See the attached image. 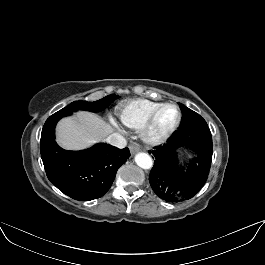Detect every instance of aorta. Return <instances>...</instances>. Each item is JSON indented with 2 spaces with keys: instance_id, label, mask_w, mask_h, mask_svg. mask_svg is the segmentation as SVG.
I'll return each instance as SVG.
<instances>
[{
  "instance_id": "762f6f07",
  "label": "aorta",
  "mask_w": 265,
  "mask_h": 265,
  "mask_svg": "<svg viewBox=\"0 0 265 265\" xmlns=\"http://www.w3.org/2000/svg\"><path fill=\"white\" fill-rule=\"evenodd\" d=\"M135 162L142 169H150L153 166V160L147 153L136 154Z\"/></svg>"
}]
</instances>
